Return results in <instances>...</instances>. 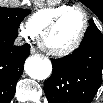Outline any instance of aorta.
Returning a JSON list of instances; mask_svg holds the SVG:
<instances>
[{
    "label": "aorta",
    "mask_w": 103,
    "mask_h": 103,
    "mask_svg": "<svg viewBox=\"0 0 103 103\" xmlns=\"http://www.w3.org/2000/svg\"><path fill=\"white\" fill-rule=\"evenodd\" d=\"M25 71L33 79L45 80L52 72V64L48 59L32 56L25 62Z\"/></svg>",
    "instance_id": "1"
}]
</instances>
